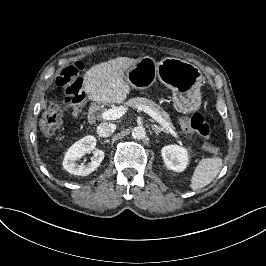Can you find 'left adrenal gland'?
<instances>
[{"label": "left adrenal gland", "mask_w": 266, "mask_h": 266, "mask_svg": "<svg viewBox=\"0 0 266 266\" xmlns=\"http://www.w3.org/2000/svg\"><path fill=\"white\" fill-rule=\"evenodd\" d=\"M152 130L155 132L156 135H159L161 132L168 133L167 130H165L164 128L159 127L157 125H153Z\"/></svg>", "instance_id": "a2214340"}]
</instances>
